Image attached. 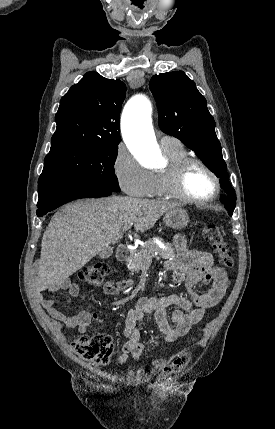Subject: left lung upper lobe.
Masks as SVG:
<instances>
[{"label":"left lung upper lobe","mask_w":275,"mask_h":429,"mask_svg":"<svg viewBox=\"0 0 275 429\" xmlns=\"http://www.w3.org/2000/svg\"><path fill=\"white\" fill-rule=\"evenodd\" d=\"M150 89L158 104L160 129L193 150L220 178V186L226 193L221 202L232 216L236 194L229 183L215 121L207 109L206 99L183 71L154 75Z\"/></svg>","instance_id":"5c2ea615"}]
</instances>
